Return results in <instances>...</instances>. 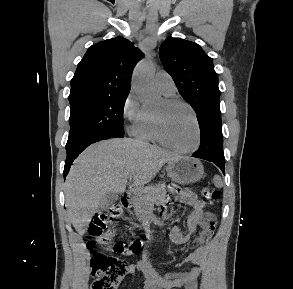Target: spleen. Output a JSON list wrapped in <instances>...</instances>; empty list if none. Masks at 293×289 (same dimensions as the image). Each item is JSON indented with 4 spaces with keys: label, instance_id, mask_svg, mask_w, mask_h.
<instances>
[{
    "label": "spleen",
    "instance_id": "obj_1",
    "mask_svg": "<svg viewBox=\"0 0 293 289\" xmlns=\"http://www.w3.org/2000/svg\"><path fill=\"white\" fill-rule=\"evenodd\" d=\"M213 182H214V185H215L217 188H221V187L223 186V183H222L221 177L218 176V175H215V176H214Z\"/></svg>",
    "mask_w": 293,
    "mask_h": 289
}]
</instances>
